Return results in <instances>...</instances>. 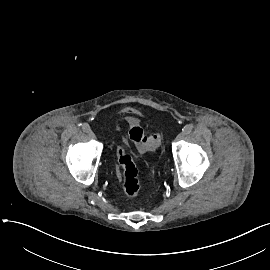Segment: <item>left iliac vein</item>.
<instances>
[{
  "instance_id": "4c4485c4",
  "label": "left iliac vein",
  "mask_w": 270,
  "mask_h": 270,
  "mask_svg": "<svg viewBox=\"0 0 270 270\" xmlns=\"http://www.w3.org/2000/svg\"><path fill=\"white\" fill-rule=\"evenodd\" d=\"M184 137H185V133L184 132H180L178 135H177V137H176V141H180V140H182V139H184Z\"/></svg>"
}]
</instances>
